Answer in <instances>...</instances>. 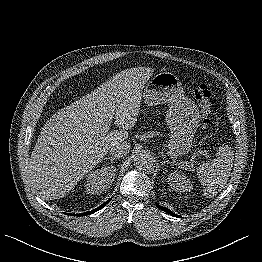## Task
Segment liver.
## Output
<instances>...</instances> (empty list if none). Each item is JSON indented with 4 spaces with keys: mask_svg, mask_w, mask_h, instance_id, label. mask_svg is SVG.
Returning a JSON list of instances; mask_svg holds the SVG:
<instances>
[{
    "mask_svg": "<svg viewBox=\"0 0 262 262\" xmlns=\"http://www.w3.org/2000/svg\"><path fill=\"white\" fill-rule=\"evenodd\" d=\"M153 71L147 67L124 70L46 122L28 170L29 181L42 198L64 197L113 144L128 138L127 130L137 121L142 90ZM110 115L120 129L103 133Z\"/></svg>",
    "mask_w": 262,
    "mask_h": 262,
    "instance_id": "1",
    "label": "liver"
}]
</instances>
